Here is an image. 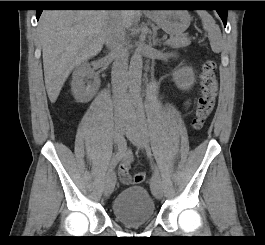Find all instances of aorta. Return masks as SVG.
Here are the masks:
<instances>
[{"mask_svg": "<svg viewBox=\"0 0 265 245\" xmlns=\"http://www.w3.org/2000/svg\"><path fill=\"white\" fill-rule=\"evenodd\" d=\"M143 58L142 51L137 48L133 53L128 76L129 93L133 99H139L141 91V78H142Z\"/></svg>", "mask_w": 265, "mask_h": 245, "instance_id": "1", "label": "aorta"}]
</instances>
